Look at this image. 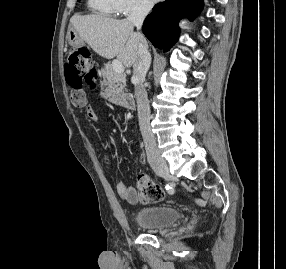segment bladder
<instances>
[{"label": "bladder", "instance_id": "bladder-1", "mask_svg": "<svg viewBox=\"0 0 286 269\" xmlns=\"http://www.w3.org/2000/svg\"><path fill=\"white\" fill-rule=\"evenodd\" d=\"M179 220L180 212L170 206L153 205L143 207L136 210L133 214L134 224L148 231L161 230L177 223Z\"/></svg>", "mask_w": 286, "mask_h": 269}]
</instances>
